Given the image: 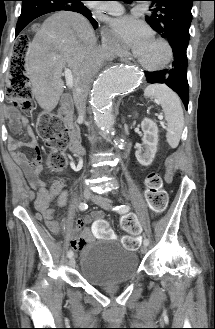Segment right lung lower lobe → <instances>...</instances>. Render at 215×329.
Instances as JSON below:
<instances>
[{
	"label": "right lung lower lobe",
	"instance_id": "1",
	"mask_svg": "<svg viewBox=\"0 0 215 329\" xmlns=\"http://www.w3.org/2000/svg\"><path fill=\"white\" fill-rule=\"evenodd\" d=\"M60 10L80 13L91 22L94 28L98 26L91 11L84 6L81 0H22L21 15L16 25V36L35 18Z\"/></svg>",
	"mask_w": 215,
	"mask_h": 329
}]
</instances>
